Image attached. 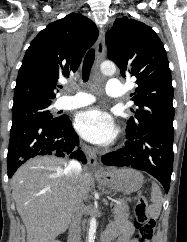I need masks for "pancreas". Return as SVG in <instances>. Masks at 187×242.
<instances>
[{
  "instance_id": "pancreas-1",
  "label": "pancreas",
  "mask_w": 187,
  "mask_h": 242,
  "mask_svg": "<svg viewBox=\"0 0 187 242\" xmlns=\"http://www.w3.org/2000/svg\"><path fill=\"white\" fill-rule=\"evenodd\" d=\"M129 207L124 200L116 201L115 207L112 209V213L115 217H121L128 215Z\"/></svg>"
}]
</instances>
